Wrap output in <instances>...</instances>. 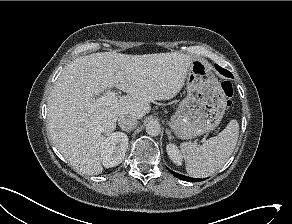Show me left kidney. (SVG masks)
I'll return each instance as SVG.
<instances>
[{"label": "left kidney", "mask_w": 292, "mask_h": 224, "mask_svg": "<svg viewBox=\"0 0 292 224\" xmlns=\"http://www.w3.org/2000/svg\"><path fill=\"white\" fill-rule=\"evenodd\" d=\"M166 151L169 158L172 160L174 164H176L177 166L182 165V156L180 154L178 147L175 144L173 143L167 144Z\"/></svg>", "instance_id": "5707ae66"}]
</instances>
